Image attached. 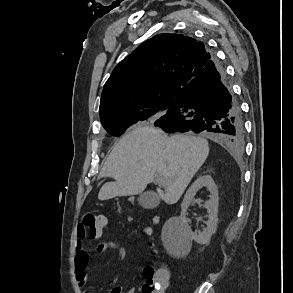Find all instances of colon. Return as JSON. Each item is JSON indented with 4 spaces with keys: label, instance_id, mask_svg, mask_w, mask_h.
<instances>
[{
    "label": "colon",
    "instance_id": "colon-1",
    "mask_svg": "<svg viewBox=\"0 0 293 293\" xmlns=\"http://www.w3.org/2000/svg\"><path fill=\"white\" fill-rule=\"evenodd\" d=\"M107 224V217L103 214L86 213L81 221L85 237L99 239ZM155 252V250L153 249ZM144 284L142 293H165L169 285V271L165 266H148L143 270Z\"/></svg>",
    "mask_w": 293,
    "mask_h": 293
}]
</instances>
